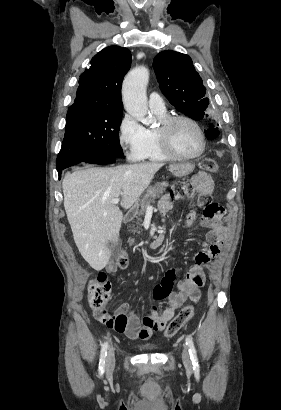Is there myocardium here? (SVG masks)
Returning a JSON list of instances; mask_svg holds the SVG:
<instances>
[{"label": "myocardium", "mask_w": 281, "mask_h": 410, "mask_svg": "<svg viewBox=\"0 0 281 410\" xmlns=\"http://www.w3.org/2000/svg\"><path fill=\"white\" fill-rule=\"evenodd\" d=\"M179 121L188 122L193 125L200 134L201 137V147L199 151L193 155H182L179 154L175 149L172 147L169 132L171 127ZM156 136L159 142L161 149L164 153L170 158L174 160H192L200 157L206 150L207 146V139L206 134L201 127V125L193 118L186 116V115H170L160 120L158 127L156 128Z\"/></svg>", "instance_id": "1"}]
</instances>
